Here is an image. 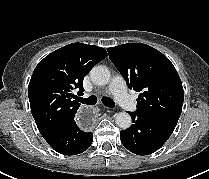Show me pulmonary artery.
<instances>
[{
  "mask_svg": "<svg viewBox=\"0 0 209 179\" xmlns=\"http://www.w3.org/2000/svg\"><path fill=\"white\" fill-rule=\"evenodd\" d=\"M107 92L111 93L117 103L125 110L133 112L137 109L136 102L128 94L125 82L121 76L116 75L112 78Z\"/></svg>",
  "mask_w": 209,
  "mask_h": 179,
  "instance_id": "pulmonary-artery-1",
  "label": "pulmonary artery"
}]
</instances>
